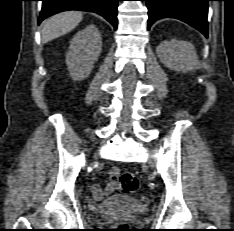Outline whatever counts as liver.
Wrapping results in <instances>:
<instances>
[{"label":"liver","instance_id":"6515ba94","mask_svg":"<svg viewBox=\"0 0 234 231\" xmlns=\"http://www.w3.org/2000/svg\"><path fill=\"white\" fill-rule=\"evenodd\" d=\"M82 18L83 15L79 11H67L48 18L42 24L43 43L72 31L81 22Z\"/></svg>","mask_w":234,"mask_h":231}]
</instances>
